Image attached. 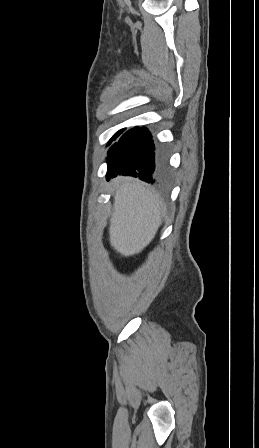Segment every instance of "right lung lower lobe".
I'll return each instance as SVG.
<instances>
[{
	"mask_svg": "<svg viewBox=\"0 0 259 448\" xmlns=\"http://www.w3.org/2000/svg\"><path fill=\"white\" fill-rule=\"evenodd\" d=\"M168 153L160 150L156 155L150 131L145 127H134L125 132L108 151L107 180L118 175L139 177L154 183L156 177H166Z\"/></svg>",
	"mask_w": 259,
	"mask_h": 448,
	"instance_id": "right-lung-lower-lobe-1",
	"label": "right lung lower lobe"
}]
</instances>
